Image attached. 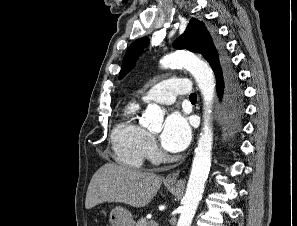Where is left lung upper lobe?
<instances>
[{
	"label": "left lung upper lobe",
	"mask_w": 297,
	"mask_h": 226,
	"mask_svg": "<svg viewBox=\"0 0 297 226\" xmlns=\"http://www.w3.org/2000/svg\"><path fill=\"white\" fill-rule=\"evenodd\" d=\"M148 43V38H140L130 45L124 56L119 78H122L135 66L141 49L146 47ZM173 46L176 49H187L202 54L211 65L215 74L222 71L225 67L226 59H219L217 50L206 27L196 19L190 20L185 32L173 43Z\"/></svg>",
	"instance_id": "obj_1"
}]
</instances>
